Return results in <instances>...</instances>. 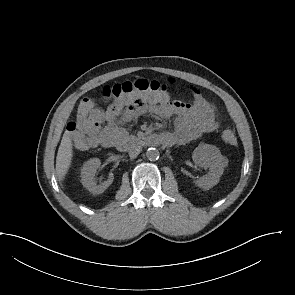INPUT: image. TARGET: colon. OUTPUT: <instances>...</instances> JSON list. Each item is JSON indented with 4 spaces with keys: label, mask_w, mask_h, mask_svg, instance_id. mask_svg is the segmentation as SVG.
<instances>
[{
    "label": "colon",
    "mask_w": 295,
    "mask_h": 295,
    "mask_svg": "<svg viewBox=\"0 0 295 295\" xmlns=\"http://www.w3.org/2000/svg\"><path fill=\"white\" fill-rule=\"evenodd\" d=\"M166 90L164 84L158 81H148L145 79H138L135 81H125L123 83H117L114 85L104 86L101 89V96L107 99L119 98L124 95L140 92V93H151ZM96 108L94 98L88 97L81 101L76 124L82 125L84 121L91 115L92 111ZM222 140L230 145H234L237 142L236 134L232 128H224L221 132Z\"/></svg>",
    "instance_id": "1"
}]
</instances>
